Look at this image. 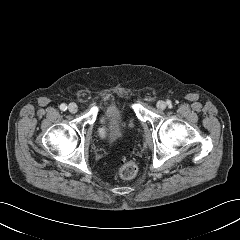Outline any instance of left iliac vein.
Returning <instances> with one entry per match:
<instances>
[{"label": "left iliac vein", "mask_w": 240, "mask_h": 240, "mask_svg": "<svg viewBox=\"0 0 240 240\" xmlns=\"http://www.w3.org/2000/svg\"><path fill=\"white\" fill-rule=\"evenodd\" d=\"M157 108L160 110H164L166 108V103L164 101H158Z\"/></svg>", "instance_id": "1"}]
</instances>
